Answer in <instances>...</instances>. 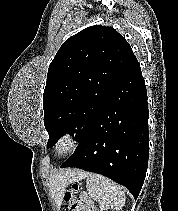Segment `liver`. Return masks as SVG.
<instances>
[{"label":"liver","mask_w":178,"mask_h":211,"mask_svg":"<svg viewBox=\"0 0 178 211\" xmlns=\"http://www.w3.org/2000/svg\"><path fill=\"white\" fill-rule=\"evenodd\" d=\"M83 176V172L71 169L60 170L59 172L53 171L50 173L49 185L58 207L62 204L65 188L70 183L81 180Z\"/></svg>","instance_id":"liver-1"}]
</instances>
